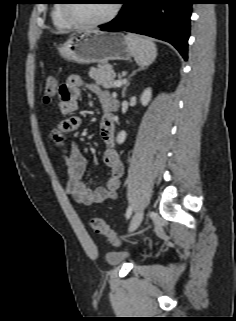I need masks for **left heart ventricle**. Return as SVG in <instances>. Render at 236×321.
Instances as JSON below:
<instances>
[{
    "label": "left heart ventricle",
    "instance_id": "left-heart-ventricle-1",
    "mask_svg": "<svg viewBox=\"0 0 236 321\" xmlns=\"http://www.w3.org/2000/svg\"><path fill=\"white\" fill-rule=\"evenodd\" d=\"M113 7L108 0H84L74 3L72 13L75 17L84 21H96L106 17Z\"/></svg>",
    "mask_w": 236,
    "mask_h": 321
}]
</instances>
